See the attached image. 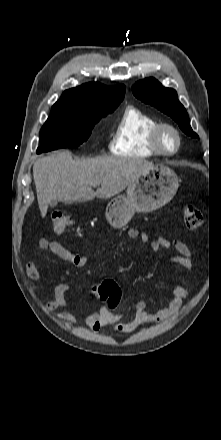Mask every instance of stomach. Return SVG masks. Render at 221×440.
Listing matches in <instances>:
<instances>
[{
	"label": "stomach",
	"mask_w": 221,
	"mask_h": 440,
	"mask_svg": "<svg viewBox=\"0 0 221 440\" xmlns=\"http://www.w3.org/2000/svg\"><path fill=\"white\" fill-rule=\"evenodd\" d=\"M179 179L169 167L155 165L128 185L126 194L118 195L108 204L106 218L114 228H122L135 212H151L175 195Z\"/></svg>",
	"instance_id": "obj_1"
}]
</instances>
